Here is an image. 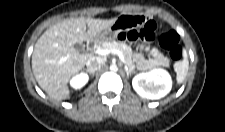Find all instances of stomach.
I'll list each match as a JSON object with an SVG mask.
<instances>
[{"label": "stomach", "instance_id": "stomach-1", "mask_svg": "<svg viewBox=\"0 0 225 132\" xmlns=\"http://www.w3.org/2000/svg\"><path fill=\"white\" fill-rule=\"evenodd\" d=\"M120 29L114 27V25L108 27L107 29L101 31L95 38L98 42L112 41L115 40L120 33Z\"/></svg>", "mask_w": 225, "mask_h": 132}]
</instances>
